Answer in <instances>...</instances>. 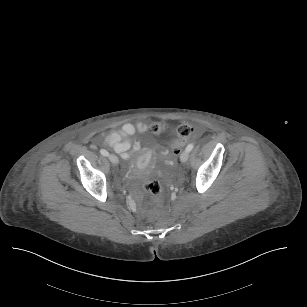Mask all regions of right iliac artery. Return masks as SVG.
Segmentation results:
<instances>
[{"instance_id": "1", "label": "right iliac artery", "mask_w": 307, "mask_h": 307, "mask_svg": "<svg viewBox=\"0 0 307 307\" xmlns=\"http://www.w3.org/2000/svg\"><path fill=\"white\" fill-rule=\"evenodd\" d=\"M100 153H101L102 155H104V156H108V154H109L105 149H101V150H100Z\"/></svg>"}]
</instances>
